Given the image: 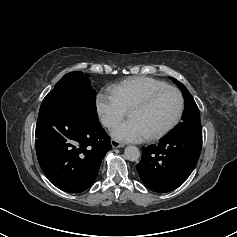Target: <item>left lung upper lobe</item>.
Here are the masks:
<instances>
[{
    "label": "left lung upper lobe",
    "mask_w": 237,
    "mask_h": 237,
    "mask_svg": "<svg viewBox=\"0 0 237 237\" xmlns=\"http://www.w3.org/2000/svg\"><path fill=\"white\" fill-rule=\"evenodd\" d=\"M172 80L182 90V95L185 100V108L182 116V122L179 123L168 136L176 137L189 133H202L199 110L192 95L181 82L174 78H172Z\"/></svg>",
    "instance_id": "1"
}]
</instances>
